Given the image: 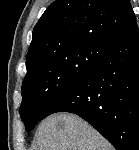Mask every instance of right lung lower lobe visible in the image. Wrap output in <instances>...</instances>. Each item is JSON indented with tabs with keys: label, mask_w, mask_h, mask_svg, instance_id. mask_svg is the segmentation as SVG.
I'll use <instances>...</instances> for the list:
<instances>
[{
	"label": "right lung lower lobe",
	"mask_w": 139,
	"mask_h": 150,
	"mask_svg": "<svg viewBox=\"0 0 139 150\" xmlns=\"http://www.w3.org/2000/svg\"><path fill=\"white\" fill-rule=\"evenodd\" d=\"M74 113L117 150H139V29L136 21L93 68L46 110Z\"/></svg>",
	"instance_id": "right-lung-lower-lobe-1"
}]
</instances>
